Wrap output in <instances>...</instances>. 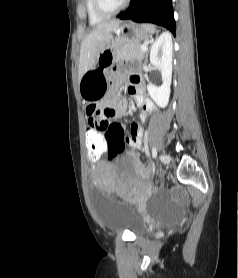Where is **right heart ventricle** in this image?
Segmentation results:
<instances>
[{
	"mask_svg": "<svg viewBox=\"0 0 238 278\" xmlns=\"http://www.w3.org/2000/svg\"><path fill=\"white\" fill-rule=\"evenodd\" d=\"M88 20L92 25H96L104 21V17L99 16L93 7V0H85Z\"/></svg>",
	"mask_w": 238,
	"mask_h": 278,
	"instance_id": "right-heart-ventricle-1",
	"label": "right heart ventricle"
}]
</instances>
